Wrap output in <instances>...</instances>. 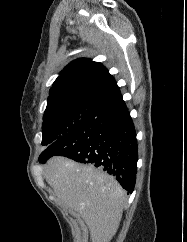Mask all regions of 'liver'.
Returning <instances> with one entry per match:
<instances>
[{"instance_id":"6515ba94","label":"liver","mask_w":187,"mask_h":242,"mask_svg":"<svg viewBox=\"0 0 187 242\" xmlns=\"http://www.w3.org/2000/svg\"><path fill=\"white\" fill-rule=\"evenodd\" d=\"M44 177L56 198L86 222L92 242L111 241L126 204L125 192L112 176L92 165L53 157Z\"/></svg>"}]
</instances>
